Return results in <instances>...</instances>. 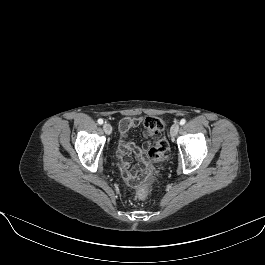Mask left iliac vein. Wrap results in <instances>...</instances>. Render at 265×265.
Listing matches in <instances>:
<instances>
[{"label":"left iliac vein","mask_w":265,"mask_h":265,"mask_svg":"<svg viewBox=\"0 0 265 265\" xmlns=\"http://www.w3.org/2000/svg\"><path fill=\"white\" fill-rule=\"evenodd\" d=\"M178 131H179V124L174 123L170 129V136L174 138L177 135Z\"/></svg>","instance_id":"obj_1"}]
</instances>
